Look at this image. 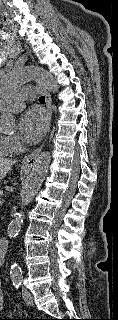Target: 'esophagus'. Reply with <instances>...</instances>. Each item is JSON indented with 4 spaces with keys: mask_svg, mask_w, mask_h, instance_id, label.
Here are the masks:
<instances>
[{
    "mask_svg": "<svg viewBox=\"0 0 118 320\" xmlns=\"http://www.w3.org/2000/svg\"><path fill=\"white\" fill-rule=\"evenodd\" d=\"M37 87L43 92V94L45 95V100H46V107L48 110V114H49V119L51 121V116H52V98L50 93L43 88L40 84H37ZM44 144H42L39 148H37L36 150H34L33 152L29 153L28 155H26L23 160H22V167L29 169L32 168L35 165L36 159L39 155V153L41 152L42 148H43Z\"/></svg>",
    "mask_w": 118,
    "mask_h": 320,
    "instance_id": "1",
    "label": "esophagus"
}]
</instances>
